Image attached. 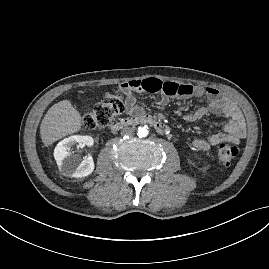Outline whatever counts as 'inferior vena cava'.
<instances>
[{
	"label": "inferior vena cava",
	"instance_id": "602c4592",
	"mask_svg": "<svg viewBox=\"0 0 269 269\" xmlns=\"http://www.w3.org/2000/svg\"><path fill=\"white\" fill-rule=\"evenodd\" d=\"M122 135H132L134 134V129L132 127H124L121 130Z\"/></svg>",
	"mask_w": 269,
	"mask_h": 269
}]
</instances>
